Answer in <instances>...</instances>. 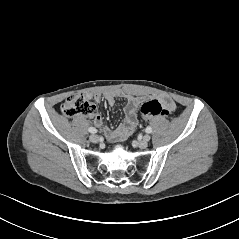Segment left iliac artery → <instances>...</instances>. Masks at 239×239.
<instances>
[{
    "label": "left iliac artery",
    "instance_id": "1",
    "mask_svg": "<svg viewBox=\"0 0 239 239\" xmlns=\"http://www.w3.org/2000/svg\"><path fill=\"white\" fill-rule=\"evenodd\" d=\"M146 132H147V133H151V132H152V128H151L150 126H148V127L146 128Z\"/></svg>",
    "mask_w": 239,
    "mask_h": 239
}]
</instances>
